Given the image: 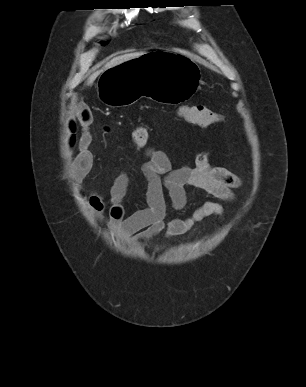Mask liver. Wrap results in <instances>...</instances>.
<instances>
[{
  "label": "liver",
  "instance_id": "obj_1",
  "mask_svg": "<svg viewBox=\"0 0 306 387\" xmlns=\"http://www.w3.org/2000/svg\"><path fill=\"white\" fill-rule=\"evenodd\" d=\"M144 55L143 52H137V53H129V54H124V55H121V56H117V57H114L113 59H111L106 65H105V70L106 69H110V68H113L117 65H120L126 61H129V60H132V59H136L140 56ZM99 75V72H95L94 74H92L88 80H87V84L88 85H91L94 80L96 79V77Z\"/></svg>",
  "mask_w": 306,
  "mask_h": 387
}]
</instances>
